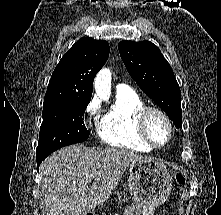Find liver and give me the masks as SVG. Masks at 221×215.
<instances>
[{"mask_svg":"<svg viewBox=\"0 0 221 215\" xmlns=\"http://www.w3.org/2000/svg\"><path fill=\"white\" fill-rule=\"evenodd\" d=\"M146 160L117 148L73 145L58 150L40 166L46 214L86 215L110 198L127 167Z\"/></svg>","mask_w":221,"mask_h":215,"instance_id":"liver-1","label":"liver"}]
</instances>
